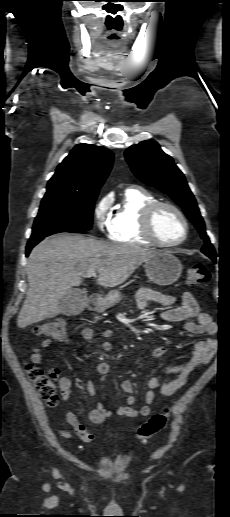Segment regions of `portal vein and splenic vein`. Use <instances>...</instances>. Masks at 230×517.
<instances>
[{"instance_id":"obj_1","label":"portal vein and splenic vein","mask_w":230,"mask_h":517,"mask_svg":"<svg viewBox=\"0 0 230 517\" xmlns=\"http://www.w3.org/2000/svg\"><path fill=\"white\" fill-rule=\"evenodd\" d=\"M95 274H96V273H95V271H94V270H88V271H87V273H86V275H85V277H86V278H90V277L94 276Z\"/></svg>"}]
</instances>
